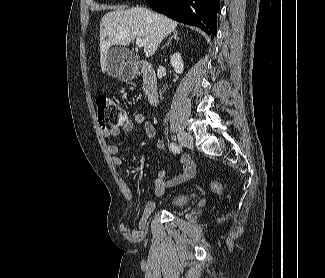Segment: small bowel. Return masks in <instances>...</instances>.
I'll use <instances>...</instances> for the list:
<instances>
[{"label":"small bowel","mask_w":325,"mask_h":278,"mask_svg":"<svg viewBox=\"0 0 325 278\" xmlns=\"http://www.w3.org/2000/svg\"><path fill=\"white\" fill-rule=\"evenodd\" d=\"M135 125H143L145 129L146 136L149 140H152L156 135V128L154 123L143 113H136L132 119H127L120 127L113 130H105L102 134L105 137H117L121 133H129L133 131ZM156 147L158 150L162 151L164 149V141L159 139L156 142ZM108 153L112 156V161L115 165H120L122 159L120 157V147L117 144H109L107 146ZM181 173L174 178L167 180L166 173L164 171L159 172L158 177L154 184V193L157 197L164 194L166 188L173 187L180 183H183L195 174V166L191 158L187 155L181 158ZM154 207L153 203L147 204V209L150 210Z\"/></svg>","instance_id":"c3829d8e"}]
</instances>
